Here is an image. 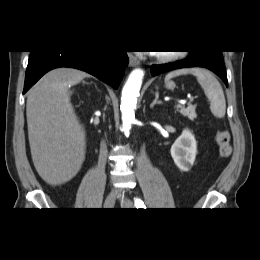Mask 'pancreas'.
Masks as SVG:
<instances>
[{
	"label": "pancreas",
	"mask_w": 260,
	"mask_h": 260,
	"mask_svg": "<svg viewBox=\"0 0 260 260\" xmlns=\"http://www.w3.org/2000/svg\"><path fill=\"white\" fill-rule=\"evenodd\" d=\"M195 109L196 107L194 105H188V107H177V111H179L183 116L188 117L191 121L197 117Z\"/></svg>",
	"instance_id": "cf45deb5"
}]
</instances>
